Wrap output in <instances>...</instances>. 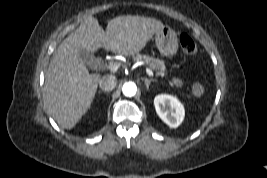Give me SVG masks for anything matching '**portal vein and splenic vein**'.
<instances>
[{"mask_svg": "<svg viewBox=\"0 0 267 178\" xmlns=\"http://www.w3.org/2000/svg\"><path fill=\"white\" fill-rule=\"evenodd\" d=\"M119 67H120V64H119L118 62H112V63H110V64L108 65L109 70H111V71H113V72L117 71V70L119 69ZM145 70H146V73H147L150 77H153V76H154V74H153V72H152L151 69H149L148 67H146Z\"/></svg>", "mask_w": 267, "mask_h": 178, "instance_id": "obj_1", "label": "portal vein and splenic vein"}]
</instances>
